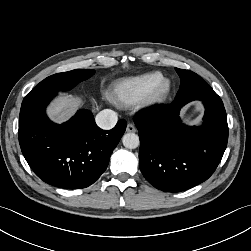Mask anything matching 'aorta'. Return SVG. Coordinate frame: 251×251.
Returning a JSON list of instances; mask_svg holds the SVG:
<instances>
[{
	"label": "aorta",
	"mask_w": 251,
	"mask_h": 251,
	"mask_svg": "<svg viewBox=\"0 0 251 251\" xmlns=\"http://www.w3.org/2000/svg\"><path fill=\"white\" fill-rule=\"evenodd\" d=\"M122 142H123L124 147L128 149H135L139 146V143H140L139 137L135 133H126L122 137Z\"/></svg>",
	"instance_id": "aorta-1"
}]
</instances>
